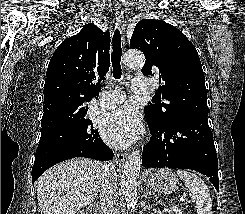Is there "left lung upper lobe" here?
<instances>
[{
  "label": "left lung upper lobe",
  "mask_w": 245,
  "mask_h": 214,
  "mask_svg": "<svg viewBox=\"0 0 245 214\" xmlns=\"http://www.w3.org/2000/svg\"><path fill=\"white\" fill-rule=\"evenodd\" d=\"M131 48L145 57L142 73L158 75L163 81L157 95L168 103L144 108L146 119L168 126L194 114H208L205 77L194 45L173 25L162 20L143 19L134 29Z\"/></svg>",
  "instance_id": "left-lung-upper-lobe-1"
}]
</instances>
